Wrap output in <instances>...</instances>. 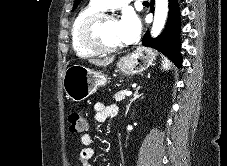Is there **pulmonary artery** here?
<instances>
[{"mask_svg":"<svg viewBox=\"0 0 227 166\" xmlns=\"http://www.w3.org/2000/svg\"><path fill=\"white\" fill-rule=\"evenodd\" d=\"M96 5H98L101 9H118L122 6L128 5L132 0H92ZM145 1V0H143Z\"/></svg>","mask_w":227,"mask_h":166,"instance_id":"obj_1","label":"pulmonary artery"}]
</instances>
